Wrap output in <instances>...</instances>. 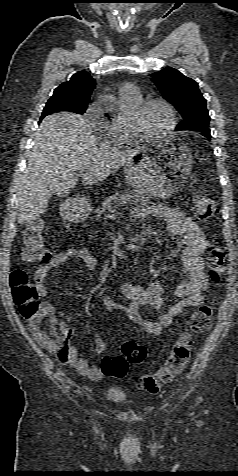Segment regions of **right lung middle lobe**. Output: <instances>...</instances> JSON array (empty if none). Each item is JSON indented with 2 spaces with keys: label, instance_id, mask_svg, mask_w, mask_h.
<instances>
[{
  "label": "right lung middle lobe",
  "instance_id": "right-lung-middle-lobe-1",
  "mask_svg": "<svg viewBox=\"0 0 238 476\" xmlns=\"http://www.w3.org/2000/svg\"><path fill=\"white\" fill-rule=\"evenodd\" d=\"M86 108H87V105L73 104V102L71 101L69 97L56 95V96H52L48 100L43 110L42 117L53 112H61V111L82 114L85 112Z\"/></svg>",
  "mask_w": 238,
  "mask_h": 476
}]
</instances>
